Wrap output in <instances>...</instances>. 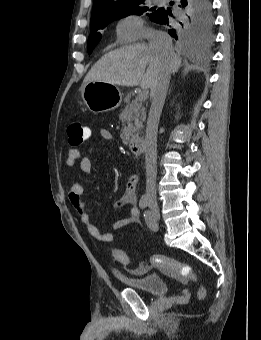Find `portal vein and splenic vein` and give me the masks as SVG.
I'll list each match as a JSON object with an SVG mask.
<instances>
[{
	"label": "portal vein and splenic vein",
	"mask_w": 261,
	"mask_h": 340,
	"mask_svg": "<svg viewBox=\"0 0 261 340\" xmlns=\"http://www.w3.org/2000/svg\"><path fill=\"white\" fill-rule=\"evenodd\" d=\"M147 98H148V91H143L141 94H139L136 97V100L142 102V101H145Z\"/></svg>",
	"instance_id": "obj_1"
}]
</instances>
